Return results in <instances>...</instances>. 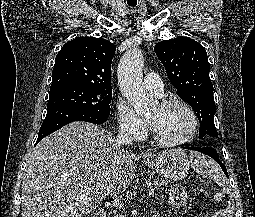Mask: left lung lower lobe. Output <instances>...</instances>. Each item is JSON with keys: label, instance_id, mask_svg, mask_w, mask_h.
<instances>
[{"label": "left lung lower lobe", "instance_id": "1", "mask_svg": "<svg viewBox=\"0 0 255 217\" xmlns=\"http://www.w3.org/2000/svg\"><path fill=\"white\" fill-rule=\"evenodd\" d=\"M181 148H184V149H190V150H194V151H198V152H201V153H204L208 156H210L211 158H213L219 165L220 167L222 168L223 172L225 173L226 177H228V173H227V170H226V167L225 165L222 163V161L220 160L219 158V154L217 152V150L211 146H207V147H189V146H182Z\"/></svg>", "mask_w": 255, "mask_h": 217}]
</instances>
